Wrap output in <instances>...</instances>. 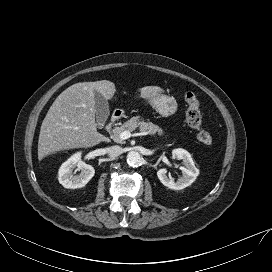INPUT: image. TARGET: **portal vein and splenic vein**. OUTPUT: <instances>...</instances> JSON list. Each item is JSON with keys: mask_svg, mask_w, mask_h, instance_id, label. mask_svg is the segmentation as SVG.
Instances as JSON below:
<instances>
[{"mask_svg": "<svg viewBox=\"0 0 272 272\" xmlns=\"http://www.w3.org/2000/svg\"><path fill=\"white\" fill-rule=\"evenodd\" d=\"M131 136H132V134H131L130 131H123V132L120 133V135H119V137H120L122 140L129 139Z\"/></svg>", "mask_w": 272, "mask_h": 272, "instance_id": "18ae733b", "label": "portal vein and splenic vein"}]
</instances>
